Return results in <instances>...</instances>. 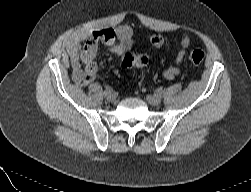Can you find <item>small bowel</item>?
I'll return each instance as SVG.
<instances>
[{"instance_id": "c3829d8e", "label": "small bowel", "mask_w": 251, "mask_h": 192, "mask_svg": "<svg viewBox=\"0 0 251 192\" xmlns=\"http://www.w3.org/2000/svg\"><path fill=\"white\" fill-rule=\"evenodd\" d=\"M100 43L110 46L111 52L120 56L132 45L131 30L127 26H121L115 30L110 28L100 29L94 31L81 48L76 41L70 43L69 53L72 64V78L80 86L88 85L97 77L98 68L95 57ZM189 44V37L183 36L181 49L177 52L174 63L163 72L165 78L173 79L178 75L179 65ZM82 64H84V67H82Z\"/></svg>"}]
</instances>
